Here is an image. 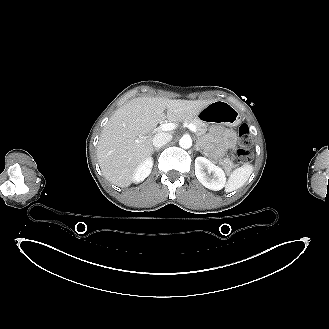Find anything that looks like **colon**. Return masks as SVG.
Returning a JSON list of instances; mask_svg holds the SVG:
<instances>
[{
  "label": "colon",
  "mask_w": 329,
  "mask_h": 329,
  "mask_svg": "<svg viewBox=\"0 0 329 329\" xmlns=\"http://www.w3.org/2000/svg\"><path fill=\"white\" fill-rule=\"evenodd\" d=\"M239 147L234 151V158L238 163L244 164L252 159L250 145L252 144V134L247 124H241L238 129Z\"/></svg>",
  "instance_id": "5ec220e1"
}]
</instances>
